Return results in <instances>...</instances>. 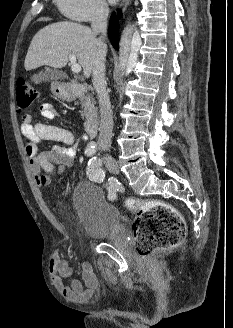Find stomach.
I'll return each instance as SVG.
<instances>
[{"mask_svg":"<svg viewBox=\"0 0 233 328\" xmlns=\"http://www.w3.org/2000/svg\"><path fill=\"white\" fill-rule=\"evenodd\" d=\"M53 93L56 97H59V98H62V99H68V100L72 99V95L65 89H62L60 91L54 90Z\"/></svg>","mask_w":233,"mask_h":328,"instance_id":"stomach-1","label":"stomach"}]
</instances>
